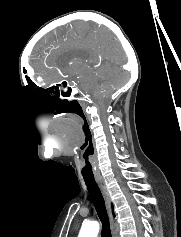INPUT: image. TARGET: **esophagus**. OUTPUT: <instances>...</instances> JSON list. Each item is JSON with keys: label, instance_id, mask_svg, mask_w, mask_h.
Instances as JSON below:
<instances>
[{"label": "esophagus", "instance_id": "1", "mask_svg": "<svg viewBox=\"0 0 181 237\" xmlns=\"http://www.w3.org/2000/svg\"><path fill=\"white\" fill-rule=\"evenodd\" d=\"M96 181L98 183V186H99V188L101 190V193H102L104 201H105V205H106L107 212H108L109 219H110L112 236L113 237H117L116 222H115V220L113 218L112 211H111V200H110L108 188H107L106 183H105V181L103 179L97 178Z\"/></svg>", "mask_w": 181, "mask_h": 237}]
</instances>
